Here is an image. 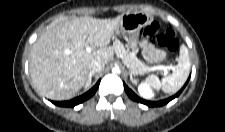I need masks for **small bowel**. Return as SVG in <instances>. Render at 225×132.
Instances as JSON below:
<instances>
[{
  "label": "small bowel",
  "instance_id": "1",
  "mask_svg": "<svg viewBox=\"0 0 225 132\" xmlns=\"http://www.w3.org/2000/svg\"><path fill=\"white\" fill-rule=\"evenodd\" d=\"M140 48L144 59L149 63H158L164 59V54L147 41L141 42Z\"/></svg>",
  "mask_w": 225,
  "mask_h": 132
}]
</instances>
